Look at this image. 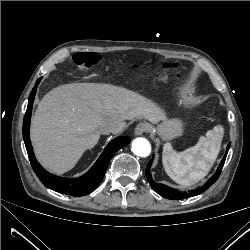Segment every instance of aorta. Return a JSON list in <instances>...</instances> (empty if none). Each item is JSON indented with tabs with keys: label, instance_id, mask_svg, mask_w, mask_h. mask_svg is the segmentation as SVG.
<instances>
[{
	"label": "aorta",
	"instance_id": "762f6f07",
	"mask_svg": "<svg viewBox=\"0 0 250 250\" xmlns=\"http://www.w3.org/2000/svg\"><path fill=\"white\" fill-rule=\"evenodd\" d=\"M132 152L140 157H147L151 152V145L145 138H136L132 142Z\"/></svg>",
	"mask_w": 250,
	"mask_h": 250
}]
</instances>
